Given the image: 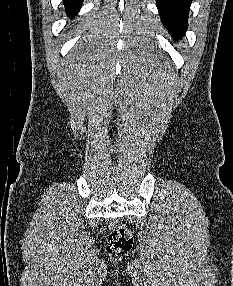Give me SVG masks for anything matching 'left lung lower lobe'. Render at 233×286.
Segmentation results:
<instances>
[{"mask_svg": "<svg viewBox=\"0 0 233 286\" xmlns=\"http://www.w3.org/2000/svg\"><path fill=\"white\" fill-rule=\"evenodd\" d=\"M164 26L176 38L181 37L188 26V13L192 0H156Z\"/></svg>", "mask_w": 233, "mask_h": 286, "instance_id": "obj_1", "label": "left lung lower lobe"}]
</instances>
